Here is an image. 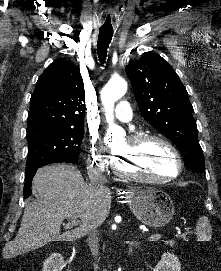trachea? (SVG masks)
Here are the masks:
<instances>
[{"label": "trachea", "mask_w": 221, "mask_h": 271, "mask_svg": "<svg viewBox=\"0 0 221 271\" xmlns=\"http://www.w3.org/2000/svg\"><path fill=\"white\" fill-rule=\"evenodd\" d=\"M113 36L112 27H101L99 30L98 44H97V54L101 64L105 63L107 56V49L111 42Z\"/></svg>", "instance_id": "1"}]
</instances>
